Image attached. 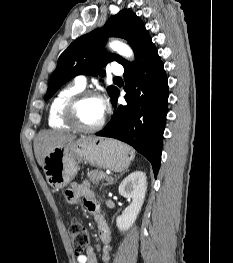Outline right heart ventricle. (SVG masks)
<instances>
[{
  "label": "right heart ventricle",
  "instance_id": "1",
  "mask_svg": "<svg viewBox=\"0 0 233 263\" xmlns=\"http://www.w3.org/2000/svg\"><path fill=\"white\" fill-rule=\"evenodd\" d=\"M83 88L76 83L62 88L52 99L48 111V124L54 129H68L70 125L63 118V110L68 99Z\"/></svg>",
  "mask_w": 233,
  "mask_h": 263
}]
</instances>
